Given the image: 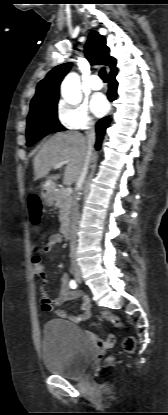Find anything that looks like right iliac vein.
Returning <instances> with one entry per match:
<instances>
[{
  "instance_id": "63e3f726",
  "label": "right iliac vein",
  "mask_w": 168,
  "mask_h": 415,
  "mask_svg": "<svg viewBox=\"0 0 168 415\" xmlns=\"http://www.w3.org/2000/svg\"><path fill=\"white\" fill-rule=\"evenodd\" d=\"M75 276H76V278H80V277H81V275H80V273H79V272H76V273H75Z\"/></svg>"
}]
</instances>
